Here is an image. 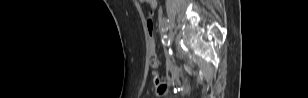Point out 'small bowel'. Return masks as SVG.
<instances>
[{
	"instance_id": "c3829d8e",
	"label": "small bowel",
	"mask_w": 308,
	"mask_h": 98,
	"mask_svg": "<svg viewBox=\"0 0 308 98\" xmlns=\"http://www.w3.org/2000/svg\"><path fill=\"white\" fill-rule=\"evenodd\" d=\"M139 2L150 9H154L157 6L156 0H140Z\"/></svg>"
}]
</instances>
